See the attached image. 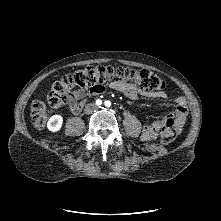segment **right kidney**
<instances>
[{
  "label": "right kidney",
  "instance_id": "right-kidney-1",
  "mask_svg": "<svg viewBox=\"0 0 221 221\" xmlns=\"http://www.w3.org/2000/svg\"><path fill=\"white\" fill-rule=\"evenodd\" d=\"M63 124V118L60 115H53L47 122V128L49 131L55 133L58 132Z\"/></svg>",
  "mask_w": 221,
  "mask_h": 221
}]
</instances>
